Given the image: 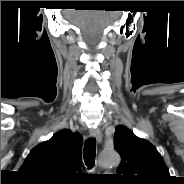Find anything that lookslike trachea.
I'll use <instances>...</instances> for the list:
<instances>
[{
  "instance_id": "3493384b",
  "label": "trachea",
  "mask_w": 184,
  "mask_h": 184,
  "mask_svg": "<svg viewBox=\"0 0 184 184\" xmlns=\"http://www.w3.org/2000/svg\"><path fill=\"white\" fill-rule=\"evenodd\" d=\"M83 154L85 164L91 169L95 163L96 156V140L94 138H90L85 142Z\"/></svg>"
}]
</instances>
